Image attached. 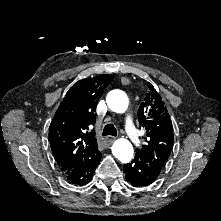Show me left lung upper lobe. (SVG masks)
Wrapping results in <instances>:
<instances>
[{
	"label": "left lung upper lobe",
	"instance_id": "5c2ea615",
	"mask_svg": "<svg viewBox=\"0 0 221 221\" xmlns=\"http://www.w3.org/2000/svg\"><path fill=\"white\" fill-rule=\"evenodd\" d=\"M138 119L146 129V144L142 149H136L135 157L161 172L173 146V126L161 96L150 83L145 100L139 107Z\"/></svg>",
	"mask_w": 221,
	"mask_h": 221
}]
</instances>
